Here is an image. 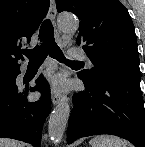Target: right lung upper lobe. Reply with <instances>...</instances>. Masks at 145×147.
Masks as SVG:
<instances>
[{
	"label": "right lung upper lobe",
	"instance_id": "1",
	"mask_svg": "<svg viewBox=\"0 0 145 147\" xmlns=\"http://www.w3.org/2000/svg\"><path fill=\"white\" fill-rule=\"evenodd\" d=\"M50 0H0V74L17 71L21 45L30 42Z\"/></svg>",
	"mask_w": 145,
	"mask_h": 147
}]
</instances>
